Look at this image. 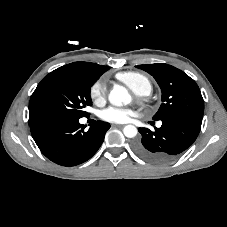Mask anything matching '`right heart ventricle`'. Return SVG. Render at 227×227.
<instances>
[{"mask_svg": "<svg viewBox=\"0 0 227 227\" xmlns=\"http://www.w3.org/2000/svg\"><path fill=\"white\" fill-rule=\"evenodd\" d=\"M117 78L137 95L145 96L152 91L150 79L142 73L127 71L117 74Z\"/></svg>", "mask_w": 227, "mask_h": 227, "instance_id": "1", "label": "right heart ventricle"}]
</instances>
